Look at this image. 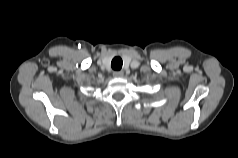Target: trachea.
<instances>
[{
	"label": "trachea",
	"instance_id": "obj_1",
	"mask_svg": "<svg viewBox=\"0 0 238 158\" xmlns=\"http://www.w3.org/2000/svg\"><path fill=\"white\" fill-rule=\"evenodd\" d=\"M122 64V59L120 57H115L111 62V67L114 70H120L122 68Z\"/></svg>",
	"mask_w": 238,
	"mask_h": 158
}]
</instances>
